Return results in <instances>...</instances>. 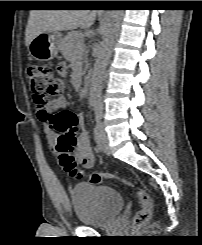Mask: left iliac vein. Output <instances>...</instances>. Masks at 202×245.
<instances>
[{
  "label": "left iliac vein",
  "instance_id": "4c4485c4",
  "mask_svg": "<svg viewBox=\"0 0 202 245\" xmlns=\"http://www.w3.org/2000/svg\"><path fill=\"white\" fill-rule=\"evenodd\" d=\"M94 138L98 147L107 155L111 154L108 144V133L104 128V125L100 122L97 123L94 130Z\"/></svg>",
  "mask_w": 202,
  "mask_h": 245
}]
</instances>
